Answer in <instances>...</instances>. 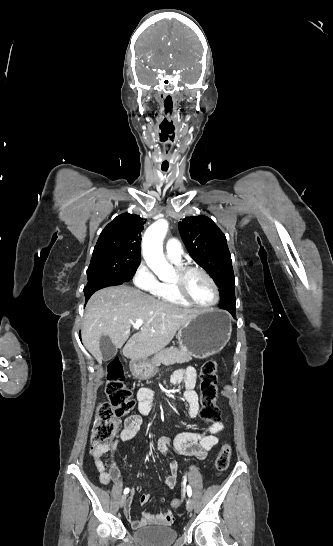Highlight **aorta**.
<instances>
[{"mask_svg": "<svg viewBox=\"0 0 333 546\" xmlns=\"http://www.w3.org/2000/svg\"><path fill=\"white\" fill-rule=\"evenodd\" d=\"M167 230V221L158 220L146 230L143 237V257L160 279L169 278L175 274L173 266L166 261L163 255L162 241Z\"/></svg>", "mask_w": 333, "mask_h": 546, "instance_id": "obj_1", "label": "aorta"}]
</instances>
